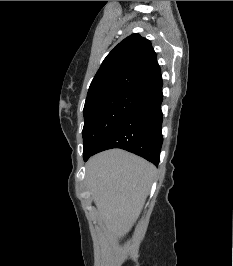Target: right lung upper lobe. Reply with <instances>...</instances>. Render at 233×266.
<instances>
[{"label": "right lung upper lobe", "mask_w": 233, "mask_h": 266, "mask_svg": "<svg viewBox=\"0 0 233 266\" xmlns=\"http://www.w3.org/2000/svg\"><path fill=\"white\" fill-rule=\"evenodd\" d=\"M161 82V70L151 42L132 34L104 59L90 84L86 101L117 91L148 92Z\"/></svg>", "instance_id": "1"}]
</instances>
